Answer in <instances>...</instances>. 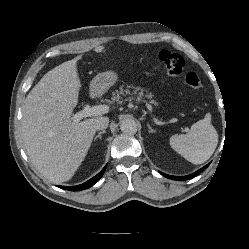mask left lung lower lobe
Returning a JSON list of instances; mask_svg holds the SVG:
<instances>
[{"instance_id": "1", "label": "left lung lower lobe", "mask_w": 249, "mask_h": 249, "mask_svg": "<svg viewBox=\"0 0 249 249\" xmlns=\"http://www.w3.org/2000/svg\"><path fill=\"white\" fill-rule=\"evenodd\" d=\"M209 165V164H208ZM208 165H206V166H204V167H202L200 170H198V171H196L195 173H193V174H190V175H188V176H171V175H167V174H164V173H162V172H160L163 176H165V177H167V178H169V179H174V180H188V179H192V178H194L195 176H197L199 173H201L203 170H205L207 167H208Z\"/></svg>"}]
</instances>
